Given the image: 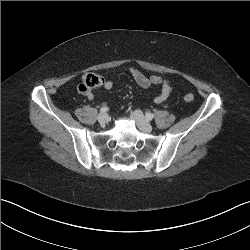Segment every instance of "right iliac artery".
Listing matches in <instances>:
<instances>
[{"label": "right iliac artery", "instance_id": "right-iliac-artery-1", "mask_svg": "<svg viewBox=\"0 0 250 250\" xmlns=\"http://www.w3.org/2000/svg\"><path fill=\"white\" fill-rule=\"evenodd\" d=\"M108 110H109V108L106 107V106H104V107H102V108L100 109V112L104 113V112H106V111H108Z\"/></svg>", "mask_w": 250, "mask_h": 250}]
</instances>
